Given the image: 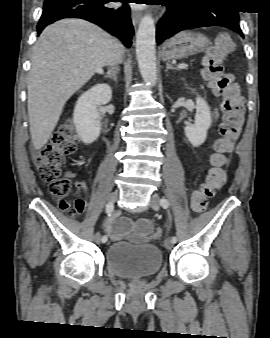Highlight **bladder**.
Returning a JSON list of instances; mask_svg holds the SVG:
<instances>
[{"mask_svg":"<svg viewBox=\"0 0 270 338\" xmlns=\"http://www.w3.org/2000/svg\"><path fill=\"white\" fill-rule=\"evenodd\" d=\"M105 264L120 278H148L160 271L163 256L159 248L154 245L115 242L106 248Z\"/></svg>","mask_w":270,"mask_h":338,"instance_id":"31cf9c89","label":"bladder"}]
</instances>
